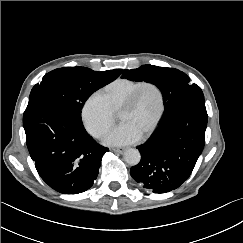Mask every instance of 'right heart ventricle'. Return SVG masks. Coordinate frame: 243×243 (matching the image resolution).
Instances as JSON below:
<instances>
[{
  "mask_svg": "<svg viewBox=\"0 0 243 243\" xmlns=\"http://www.w3.org/2000/svg\"><path fill=\"white\" fill-rule=\"evenodd\" d=\"M142 80L119 78L106 85L99 93L112 112H118L122 104Z\"/></svg>",
  "mask_w": 243,
  "mask_h": 243,
  "instance_id": "right-heart-ventricle-1",
  "label": "right heart ventricle"
}]
</instances>
